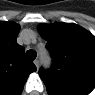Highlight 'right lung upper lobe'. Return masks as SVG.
<instances>
[{
  "mask_svg": "<svg viewBox=\"0 0 95 95\" xmlns=\"http://www.w3.org/2000/svg\"><path fill=\"white\" fill-rule=\"evenodd\" d=\"M19 30L13 22H0V95H20L29 74L36 71L17 44Z\"/></svg>",
  "mask_w": 95,
  "mask_h": 95,
  "instance_id": "right-lung-upper-lobe-1",
  "label": "right lung upper lobe"
}]
</instances>
